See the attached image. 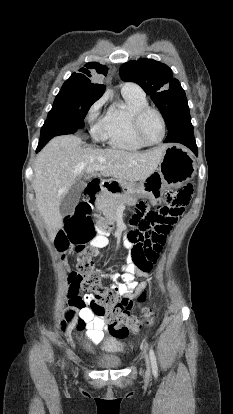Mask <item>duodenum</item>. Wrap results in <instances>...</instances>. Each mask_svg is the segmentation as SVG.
Here are the masks:
<instances>
[{
  "label": "duodenum",
  "instance_id": "duodenum-1",
  "mask_svg": "<svg viewBox=\"0 0 233 414\" xmlns=\"http://www.w3.org/2000/svg\"><path fill=\"white\" fill-rule=\"evenodd\" d=\"M119 188V185L114 181H107V180H94L88 184V186L84 187V192L86 195L82 198V203L84 207H88L89 210L93 209V206L90 204L97 203V195L101 190H106L111 193H116ZM97 218L101 217L100 213L96 214ZM101 230H108L110 225L107 223L100 224Z\"/></svg>",
  "mask_w": 233,
  "mask_h": 414
}]
</instances>
